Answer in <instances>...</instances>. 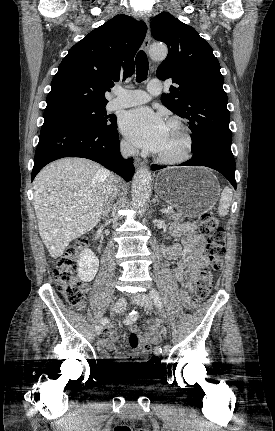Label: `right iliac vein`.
Instances as JSON below:
<instances>
[{"label":"right iliac vein","mask_w":275,"mask_h":431,"mask_svg":"<svg viewBox=\"0 0 275 431\" xmlns=\"http://www.w3.org/2000/svg\"><path fill=\"white\" fill-rule=\"evenodd\" d=\"M125 307H126V299L123 296H121L118 298V300L114 304L113 311L122 312V311H124ZM102 330H103V325L99 324L96 328L97 334H100L102 332Z\"/></svg>","instance_id":"right-iliac-vein-1"}]
</instances>
